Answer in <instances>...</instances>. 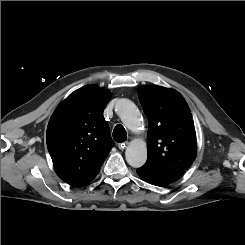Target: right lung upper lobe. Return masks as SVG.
<instances>
[{"label": "right lung upper lobe", "mask_w": 245, "mask_h": 245, "mask_svg": "<svg viewBox=\"0 0 245 245\" xmlns=\"http://www.w3.org/2000/svg\"><path fill=\"white\" fill-rule=\"evenodd\" d=\"M110 98L108 90L84 86L70 94L49 121L46 141L55 171L72 186L93 180L115 145L102 117Z\"/></svg>", "instance_id": "obj_1"}]
</instances>
